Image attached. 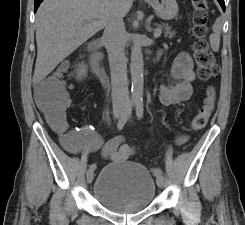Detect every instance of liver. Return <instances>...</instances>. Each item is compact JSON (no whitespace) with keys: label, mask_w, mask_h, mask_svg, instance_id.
<instances>
[{"label":"liver","mask_w":245,"mask_h":225,"mask_svg":"<svg viewBox=\"0 0 245 225\" xmlns=\"http://www.w3.org/2000/svg\"><path fill=\"white\" fill-rule=\"evenodd\" d=\"M133 0H44L36 13L37 59L33 80L39 82L106 26L116 10L123 17Z\"/></svg>","instance_id":"obj_1"}]
</instances>
